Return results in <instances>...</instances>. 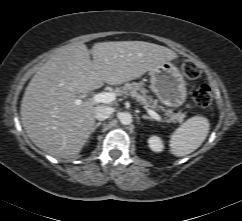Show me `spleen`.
Returning a JSON list of instances; mask_svg holds the SVG:
<instances>
[{
    "instance_id": "3e777b00",
    "label": "spleen",
    "mask_w": 242,
    "mask_h": 221,
    "mask_svg": "<svg viewBox=\"0 0 242 221\" xmlns=\"http://www.w3.org/2000/svg\"><path fill=\"white\" fill-rule=\"evenodd\" d=\"M210 129L207 118L194 116L184 122L171 135V153L178 157L186 156L196 149L206 139Z\"/></svg>"
}]
</instances>
